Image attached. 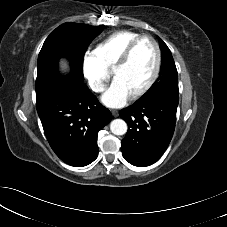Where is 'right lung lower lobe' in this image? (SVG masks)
I'll return each instance as SVG.
<instances>
[{
	"label": "right lung lower lobe",
	"mask_w": 227,
	"mask_h": 227,
	"mask_svg": "<svg viewBox=\"0 0 227 227\" xmlns=\"http://www.w3.org/2000/svg\"><path fill=\"white\" fill-rule=\"evenodd\" d=\"M46 138L65 163L82 167L98 156L97 136L112 115L88 87L74 78L53 80L36 91Z\"/></svg>",
	"instance_id": "98d812e1"
}]
</instances>
